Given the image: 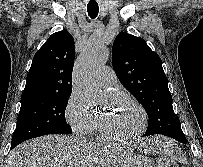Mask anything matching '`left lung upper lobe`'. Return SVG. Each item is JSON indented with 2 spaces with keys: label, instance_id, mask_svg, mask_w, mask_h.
Segmentation results:
<instances>
[{
  "label": "left lung upper lobe",
  "instance_id": "obj_1",
  "mask_svg": "<svg viewBox=\"0 0 203 167\" xmlns=\"http://www.w3.org/2000/svg\"><path fill=\"white\" fill-rule=\"evenodd\" d=\"M112 65L120 82L142 104L149 117L145 136L182 134L185 137L173 110L161 58L145 40L119 33L113 43Z\"/></svg>",
  "mask_w": 203,
  "mask_h": 167
}]
</instances>
